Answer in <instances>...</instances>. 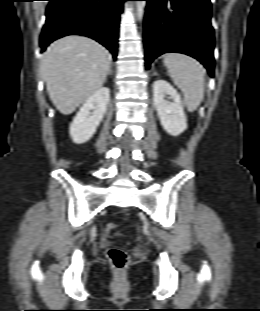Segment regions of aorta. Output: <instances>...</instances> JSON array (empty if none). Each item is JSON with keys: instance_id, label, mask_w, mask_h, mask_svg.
I'll use <instances>...</instances> for the list:
<instances>
[{"instance_id": "obj_1", "label": "aorta", "mask_w": 260, "mask_h": 311, "mask_svg": "<svg viewBox=\"0 0 260 311\" xmlns=\"http://www.w3.org/2000/svg\"><path fill=\"white\" fill-rule=\"evenodd\" d=\"M145 6V1H136V16L139 20L143 18Z\"/></svg>"}]
</instances>
